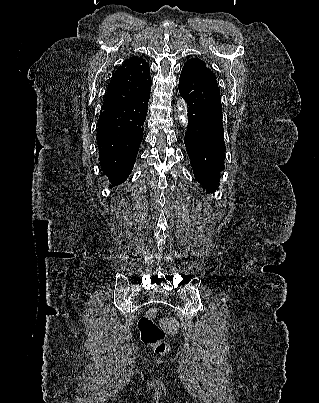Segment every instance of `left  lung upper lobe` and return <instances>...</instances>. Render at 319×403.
<instances>
[{"label": "left lung upper lobe", "instance_id": "5c2ea615", "mask_svg": "<svg viewBox=\"0 0 319 403\" xmlns=\"http://www.w3.org/2000/svg\"><path fill=\"white\" fill-rule=\"evenodd\" d=\"M184 66H189V67H193L195 69H199V70L206 72L209 75L215 77L214 73L206 66V63L200 59L192 58V59L188 60Z\"/></svg>", "mask_w": 319, "mask_h": 403}]
</instances>
